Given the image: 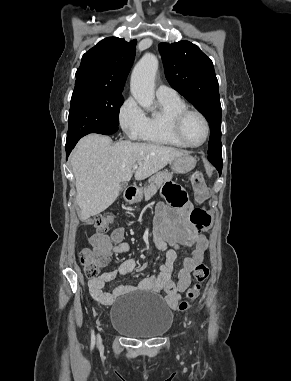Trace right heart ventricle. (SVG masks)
Returning <instances> with one entry per match:
<instances>
[{"label": "right heart ventricle", "mask_w": 291, "mask_h": 381, "mask_svg": "<svg viewBox=\"0 0 291 381\" xmlns=\"http://www.w3.org/2000/svg\"><path fill=\"white\" fill-rule=\"evenodd\" d=\"M187 108L185 101L179 96L159 98L158 111L145 116V123L140 139L154 145L185 148L172 132L171 121L174 115Z\"/></svg>", "instance_id": "e07e8e85"}]
</instances>
